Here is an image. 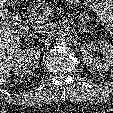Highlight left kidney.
I'll return each mask as SVG.
<instances>
[{"mask_svg": "<svg viewBox=\"0 0 113 113\" xmlns=\"http://www.w3.org/2000/svg\"><path fill=\"white\" fill-rule=\"evenodd\" d=\"M83 61L91 69L97 71L113 70V45L107 41H91L81 46ZM98 51L103 57L92 58L91 53Z\"/></svg>", "mask_w": 113, "mask_h": 113, "instance_id": "1", "label": "left kidney"}]
</instances>
